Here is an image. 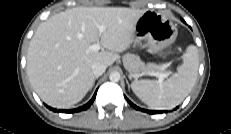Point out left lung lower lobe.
<instances>
[{
  "mask_svg": "<svg viewBox=\"0 0 231 134\" xmlns=\"http://www.w3.org/2000/svg\"><path fill=\"white\" fill-rule=\"evenodd\" d=\"M184 23H185V21L184 20H182ZM126 98V97H125ZM126 100L128 101V103L132 106V107H134L135 109H137V110H141V111H144V112H146V113H150V114H159V113H162V111H153V110H144V109H141V108H139V107H137L136 105H134L131 101H129L127 98H126Z\"/></svg>",
  "mask_w": 231,
  "mask_h": 134,
  "instance_id": "left-lung-lower-lobe-1",
  "label": "left lung lower lobe"
}]
</instances>
